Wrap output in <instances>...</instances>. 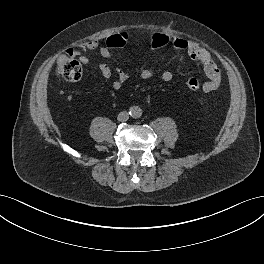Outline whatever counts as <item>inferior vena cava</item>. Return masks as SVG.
<instances>
[{"mask_svg": "<svg viewBox=\"0 0 264 264\" xmlns=\"http://www.w3.org/2000/svg\"><path fill=\"white\" fill-rule=\"evenodd\" d=\"M118 121L120 122H124V121H127L129 119V114L128 112L126 111H122L118 114V117H117Z\"/></svg>", "mask_w": 264, "mask_h": 264, "instance_id": "inferior-vena-cava-1", "label": "inferior vena cava"}]
</instances>
